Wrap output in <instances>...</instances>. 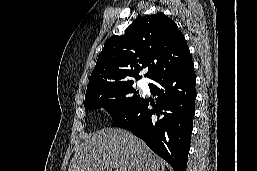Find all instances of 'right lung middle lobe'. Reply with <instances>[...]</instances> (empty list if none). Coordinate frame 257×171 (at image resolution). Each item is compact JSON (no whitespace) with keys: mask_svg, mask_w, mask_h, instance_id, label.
Here are the masks:
<instances>
[{"mask_svg":"<svg viewBox=\"0 0 257 171\" xmlns=\"http://www.w3.org/2000/svg\"><path fill=\"white\" fill-rule=\"evenodd\" d=\"M132 85L133 82H127L86 92V110L104 108L113 120L118 118L141 98Z\"/></svg>","mask_w":257,"mask_h":171,"instance_id":"right-lung-middle-lobe-1","label":"right lung middle lobe"}]
</instances>
